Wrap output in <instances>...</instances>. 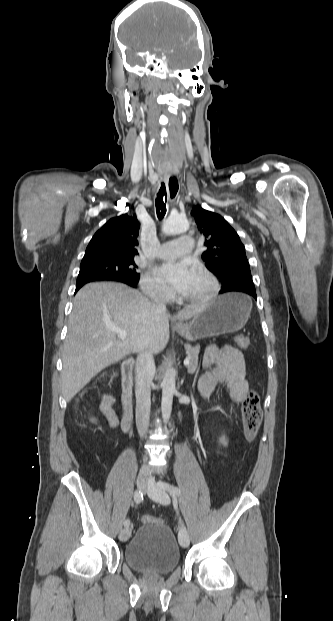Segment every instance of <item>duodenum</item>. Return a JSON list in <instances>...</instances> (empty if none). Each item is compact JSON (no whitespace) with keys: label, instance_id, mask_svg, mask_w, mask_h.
I'll return each instance as SVG.
<instances>
[{"label":"duodenum","instance_id":"obj_1","mask_svg":"<svg viewBox=\"0 0 333 621\" xmlns=\"http://www.w3.org/2000/svg\"><path fill=\"white\" fill-rule=\"evenodd\" d=\"M133 367L134 361L127 359L122 364V420L121 426L125 432H129L133 426Z\"/></svg>","mask_w":333,"mask_h":621}]
</instances>
